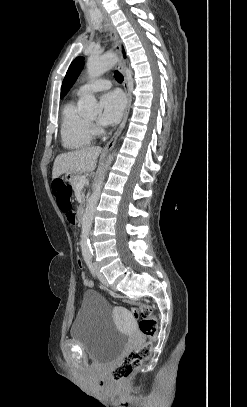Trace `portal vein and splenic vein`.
Here are the masks:
<instances>
[{
	"label": "portal vein and splenic vein",
	"mask_w": 247,
	"mask_h": 407,
	"mask_svg": "<svg viewBox=\"0 0 247 407\" xmlns=\"http://www.w3.org/2000/svg\"><path fill=\"white\" fill-rule=\"evenodd\" d=\"M85 182H86V178L83 176V177L80 179V182H79V184H78V187H79V188H82V187L84 186Z\"/></svg>",
	"instance_id": "obj_1"
}]
</instances>
